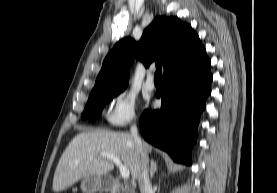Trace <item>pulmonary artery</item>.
<instances>
[{
	"label": "pulmonary artery",
	"instance_id": "e3ab8cb5",
	"mask_svg": "<svg viewBox=\"0 0 277 193\" xmlns=\"http://www.w3.org/2000/svg\"><path fill=\"white\" fill-rule=\"evenodd\" d=\"M145 88L149 91H152L155 89V84L153 80V75H148L147 80L145 82Z\"/></svg>",
	"mask_w": 277,
	"mask_h": 193
}]
</instances>
